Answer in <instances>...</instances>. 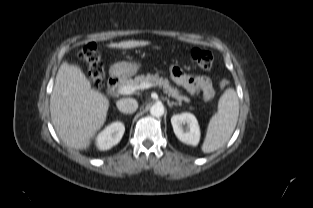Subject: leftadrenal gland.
<instances>
[{
    "label": "left adrenal gland",
    "mask_w": 313,
    "mask_h": 208,
    "mask_svg": "<svg viewBox=\"0 0 313 208\" xmlns=\"http://www.w3.org/2000/svg\"><path fill=\"white\" fill-rule=\"evenodd\" d=\"M167 104H168L169 107H172L173 105H176V106L177 105H181L180 103H176L174 101L170 102L169 99H167Z\"/></svg>",
    "instance_id": "left-adrenal-gland-1"
}]
</instances>
